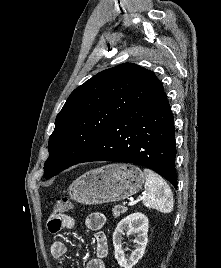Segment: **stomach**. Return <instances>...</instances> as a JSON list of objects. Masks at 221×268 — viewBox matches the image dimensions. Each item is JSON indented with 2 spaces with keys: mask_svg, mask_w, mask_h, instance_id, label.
<instances>
[{
  "mask_svg": "<svg viewBox=\"0 0 221 268\" xmlns=\"http://www.w3.org/2000/svg\"><path fill=\"white\" fill-rule=\"evenodd\" d=\"M144 181L145 175L139 167L114 163L84 173L72 182L68 193L81 204L110 203L136 194Z\"/></svg>",
  "mask_w": 221,
  "mask_h": 268,
  "instance_id": "0dacf381",
  "label": "stomach"
}]
</instances>
